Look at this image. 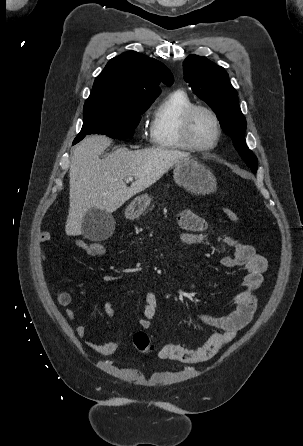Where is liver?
<instances>
[{
  "label": "liver",
  "mask_w": 303,
  "mask_h": 446,
  "mask_svg": "<svg viewBox=\"0 0 303 446\" xmlns=\"http://www.w3.org/2000/svg\"><path fill=\"white\" fill-rule=\"evenodd\" d=\"M111 144L103 135L86 137L76 146L71 159L70 208L65 232L82 233V220L90 209L116 211L135 194L158 181L172 166L190 158L188 153L166 150L117 148L105 159L99 156ZM128 177L135 181L128 187Z\"/></svg>",
  "instance_id": "liver-1"
}]
</instances>
